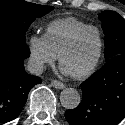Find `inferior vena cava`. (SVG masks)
<instances>
[{
    "mask_svg": "<svg viewBox=\"0 0 125 125\" xmlns=\"http://www.w3.org/2000/svg\"><path fill=\"white\" fill-rule=\"evenodd\" d=\"M43 64L37 60L30 59L27 64V69L31 74L40 75L43 72Z\"/></svg>",
    "mask_w": 125,
    "mask_h": 125,
    "instance_id": "602c4592",
    "label": "inferior vena cava"
}]
</instances>
